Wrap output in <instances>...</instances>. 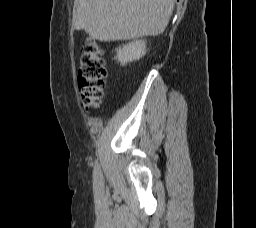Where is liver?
<instances>
[{"label": "liver", "instance_id": "liver-1", "mask_svg": "<svg viewBox=\"0 0 256 228\" xmlns=\"http://www.w3.org/2000/svg\"><path fill=\"white\" fill-rule=\"evenodd\" d=\"M175 0H75L73 26L99 41L158 36L164 32Z\"/></svg>", "mask_w": 256, "mask_h": 228}]
</instances>
